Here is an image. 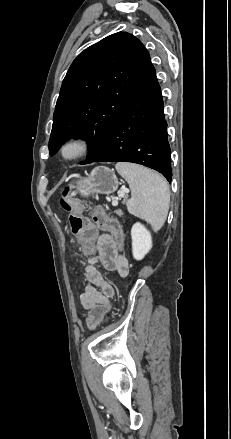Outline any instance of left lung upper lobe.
Returning <instances> with one entry per match:
<instances>
[{"label": "left lung upper lobe", "mask_w": 231, "mask_h": 439, "mask_svg": "<svg viewBox=\"0 0 231 439\" xmlns=\"http://www.w3.org/2000/svg\"><path fill=\"white\" fill-rule=\"evenodd\" d=\"M151 65L143 44L118 32L84 50L71 64L56 103L50 155L71 138L85 139L90 163Z\"/></svg>", "instance_id": "1"}]
</instances>
